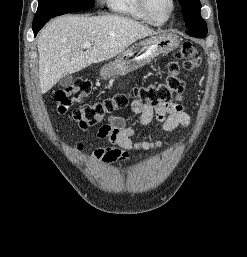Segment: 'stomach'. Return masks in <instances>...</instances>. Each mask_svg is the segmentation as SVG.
<instances>
[{
	"label": "stomach",
	"instance_id": "stomach-1",
	"mask_svg": "<svg viewBox=\"0 0 247 257\" xmlns=\"http://www.w3.org/2000/svg\"><path fill=\"white\" fill-rule=\"evenodd\" d=\"M179 41L175 35H162L147 38L120 53L113 62L102 67L103 78L117 77L128 74L149 63L159 54L178 47Z\"/></svg>",
	"mask_w": 247,
	"mask_h": 257
}]
</instances>
